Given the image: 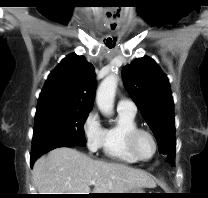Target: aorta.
Returning <instances> with one entry per match:
<instances>
[{
	"mask_svg": "<svg viewBox=\"0 0 208 198\" xmlns=\"http://www.w3.org/2000/svg\"><path fill=\"white\" fill-rule=\"evenodd\" d=\"M117 82V76L110 74L102 80L97 89L96 103L104 115L108 116L113 113Z\"/></svg>",
	"mask_w": 208,
	"mask_h": 198,
	"instance_id": "obj_1",
	"label": "aorta"
}]
</instances>
